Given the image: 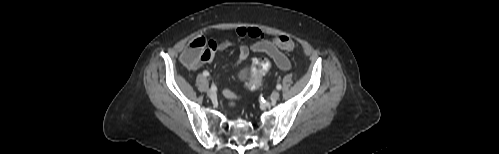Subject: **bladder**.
Returning a JSON list of instances; mask_svg holds the SVG:
<instances>
[{
  "mask_svg": "<svg viewBox=\"0 0 499 154\" xmlns=\"http://www.w3.org/2000/svg\"><path fill=\"white\" fill-rule=\"evenodd\" d=\"M240 77L241 78H245L246 77V72L245 71L240 72Z\"/></svg>",
  "mask_w": 499,
  "mask_h": 154,
  "instance_id": "obj_1",
  "label": "bladder"
}]
</instances>
